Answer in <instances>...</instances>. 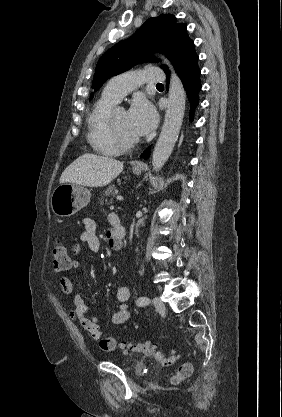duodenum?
<instances>
[{
	"instance_id": "obj_1",
	"label": "duodenum",
	"mask_w": 282,
	"mask_h": 417,
	"mask_svg": "<svg viewBox=\"0 0 282 417\" xmlns=\"http://www.w3.org/2000/svg\"><path fill=\"white\" fill-rule=\"evenodd\" d=\"M125 236V228L120 225L117 227L116 232H115V240L118 242L117 245L113 244V249H120L122 246V240Z\"/></svg>"
}]
</instances>
